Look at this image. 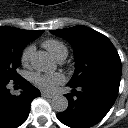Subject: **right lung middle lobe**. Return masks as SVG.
I'll return each instance as SVG.
<instances>
[{"label":"right lung middle lobe","instance_id":"right-lung-middle-lobe-1","mask_svg":"<svg viewBox=\"0 0 128 128\" xmlns=\"http://www.w3.org/2000/svg\"><path fill=\"white\" fill-rule=\"evenodd\" d=\"M30 41L0 37V81H15L20 77L16 69L21 64V53Z\"/></svg>","mask_w":128,"mask_h":128}]
</instances>
